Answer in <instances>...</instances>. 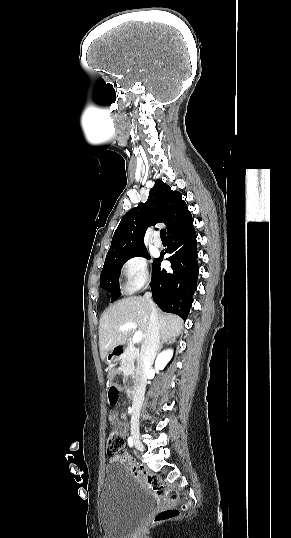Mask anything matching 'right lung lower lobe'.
Segmentation results:
<instances>
[{"label":"right lung lower lobe","mask_w":291,"mask_h":538,"mask_svg":"<svg viewBox=\"0 0 291 538\" xmlns=\"http://www.w3.org/2000/svg\"><path fill=\"white\" fill-rule=\"evenodd\" d=\"M166 252L172 254L167 258L171 262V269L161 268L163 255L155 259L152 265L150 287L153 300L163 311L186 319L199 274L193 220L168 235Z\"/></svg>","instance_id":"right-lung-lower-lobe-1"}]
</instances>
